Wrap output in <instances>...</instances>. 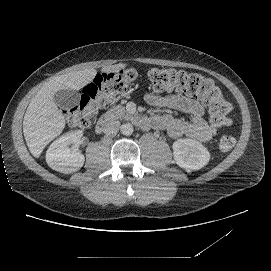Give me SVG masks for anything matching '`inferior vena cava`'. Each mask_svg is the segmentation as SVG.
I'll list each match as a JSON object with an SVG mask.
<instances>
[{
	"label": "inferior vena cava",
	"instance_id": "602c4592",
	"mask_svg": "<svg viewBox=\"0 0 271 271\" xmlns=\"http://www.w3.org/2000/svg\"><path fill=\"white\" fill-rule=\"evenodd\" d=\"M103 132L107 135H115L119 128H120V122L118 119H115L113 117H109L107 120L103 122Z\"/></svg>",
	"mask_w": 271,
	"mask_h": 271
}]
</instances>
